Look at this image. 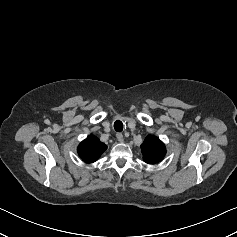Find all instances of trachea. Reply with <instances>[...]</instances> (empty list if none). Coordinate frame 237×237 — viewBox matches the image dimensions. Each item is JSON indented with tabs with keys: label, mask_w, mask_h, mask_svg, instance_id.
<instances>
[{
	"label": "trachea",
	"mask_w": 237,
	"mask_h": 237,
	"mask_svg": "<svg viewBox=\"0 0 237 237\" xmlns=\"http://www.w3.org/2000/svg\"><path fill=\"white\" fill-rule=\"evenodd\" d=\"M114 129L117 132H121L123 130V123L120 120L115 121L114 123Z\"/></svg>",
	"instance_id": "obj_1"
}]
</instances>
